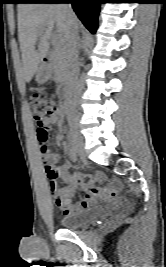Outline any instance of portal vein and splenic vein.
Instances as JSON below:
<instances>
[{
    "mask_svg": "<svg viewBox=\"0 0 166 267\" xmlns=\"http://www.w3.org/2000/svg\"><path fill=\"white\" fill-rule=\"evenodd\" d=\"M56 43L57 44H61L62 43V40L60 39V37L58 36V37H56Z\"/></svg>",
    "mask_w": 166,
    "mask_h": 267,
    "instance_id": "18ae733b",
    "label": "portal vein and splenic vein"
}]
</instances>
